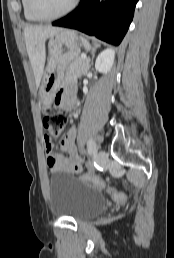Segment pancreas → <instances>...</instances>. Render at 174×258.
Listing matches in <instances>:
<instances>
[{"label":"pancreas","instance_id":"pancreas-1","mask_svg":"<svg viewBox=\"0 0 174 258\" xmlns=\"http://www.w3.org/2000/svg\"><path fill=\"white\" fill-rule=\"evenodd\" d=\"M89 67V59L79 56L69 63L66 70V78H80L89 70Z\"/></svg>","mask_w":174,"mask_h":258}]
</instances>
